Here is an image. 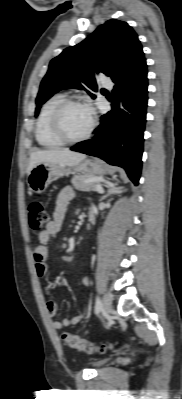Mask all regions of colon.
Masks as SVG:
<instances>
[{
	"label": "colon",
	"mask_w": 182,
	"mask_h": 399,
	"mask_svg": "<svg viewBox=\"0 0 182 399\" xmlns=\"http://www.w3.org/2000/svg\"><path fill=\"white\" fill-rule=\"evenodd\" d=\"M29 226L34 232H42L46 229L49 221V214L45 206L38 202H31L27 209ZM62 340L64 343L72 348L83 352H105L114 347L113 344H101L95 345L77 335L64 332L62 334Z\"/></svg>",
	"instance_id": "colon-1"
}]
</instances>
